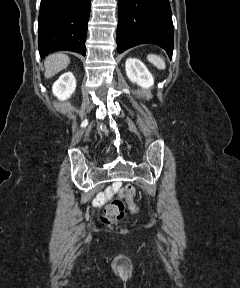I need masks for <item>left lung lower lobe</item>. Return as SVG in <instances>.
I'll list each match as a JSON object with an SVG mask.
<instances>
[{
    "label": "left lung lower lobe",
    "instance_id": "0a47b994",
    "mask_svg": "<svg viewBox=\"0 0 240 288\" xmlns=\"http://www.w3.org/2000/svg\"><path fill=\"white\" fill-rule=\"evenodd\" d=\"M117 51L156 44L173 53L174 28L168 0H118Z\"/></svg>",
    "mask_w": 240,
    "mask_h": 288
}]
</instances>
